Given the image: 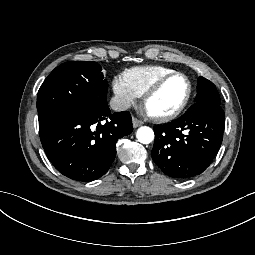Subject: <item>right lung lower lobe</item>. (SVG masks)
I'll list each match as a JSON object with an SVG mask.
<instances>
[{
  "instance_id": "98d812e1",
  "label": "right lung lower lobe",
  "mask_w": 255,
  "mask_h": 255,
  "mask_svg": "<svg viewBox=\"0 0 255 255\" xmlns=\"http://www.w3.org/2000/svg\"><path fill=\"white\" fill-rule=\"evenodd\" d=\"M39 121L40 140L54 167L70 179L85 182L108 171L117 140L133 130L128 111L111 114L108 108L100 114L78 104L56 109Z\"/></svg>"
}]
</instances>
